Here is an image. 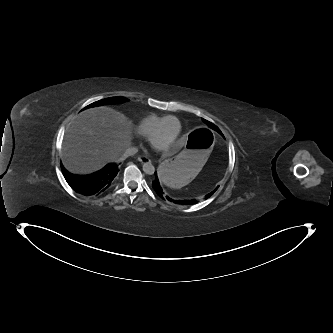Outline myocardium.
Listing matches in <instances>:
<instances>
[{"instance_id":"myocardium-1","label":"myocardium","mask_w":333,"mask_h":333,"mask_svg":"<svg viewBox=\"0 0 333 333\" xmlns=\"http://www.w3.org/2000/svg\"><path fill=\"white\" fill-rule=\"evenodd\" d=\"M170 119H174V120H176V122H177V120H178V118H177L176 116H173V115H169V116H167L166 118H164V119L161 121V123L158 125V127L156 128V130H155V131L152 133V135L150 136V142H151L152 145H155V146H156V139H157V137H158L159 134L161 133V131H162V129H163L165 123H166L168 120H170ZM179 129H180V128H178V131H179ZM177 143H178V132H177L176 136L173 138L172 141H170L168 144H166V145L160 147V149H161L162 151H170V150H172V149L177 145Z\"/></svg>"}]
</instances>
